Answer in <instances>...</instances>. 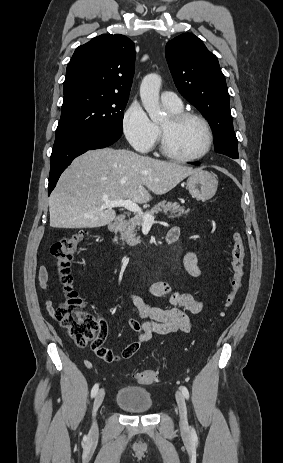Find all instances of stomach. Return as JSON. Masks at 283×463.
I'll list each match as a JSON object with an SVG mask.
<instances>
[{"instance_id": "stomach-1", "label": "stomach", "mask_w": 283, "mask_h": 463, "mask_svg": "<svg viewBox=\"0 0 283 463\" xmlns=\"http://www.w3.org/2000/svg\"><path fill=\"white\" fill-rule=\"evenodd\" d=\"M218 187L216 176L208 171L199 170L187 179V189L190 195L200 201L211 199Z\"/></svg>"}]
</instances>
